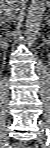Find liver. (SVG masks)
I'll list each match as a JSON object with an SVG mask.
<instances>
[{
  "label": "liver",
  "instance_id": "1",
  "mask_svg": "<svg viewBox=\"0 0 50 148\" xmlns=\"http://www.w3.org/2000/svg\"><path fill=\"white\" fill-rule=\"evenodd\" d=\"M7 0H1V12L3 10L2 6L4 5L5 6V3H6Z\"/></svg>",
  "mask_w": 50,
  "mask_h": 148
}]
</instances>
